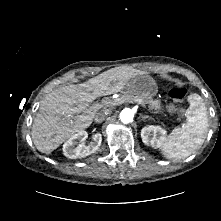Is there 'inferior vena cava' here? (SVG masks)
Listing matches in <instances>:
<instances>
[{
  "instance_id": "1",
  "label": "inferior vena cava",
  "mask_w": 221,
  "mask_h": 221,
  "mask_svg": "<svg viewBox=\"0 0 221 221\" xmlns=\"http://www.w3.org/2000/svg\"><path fill=\"white\" fill-rule=\"evenodd\" d=\"M109 110H102V111H99L96 115H95V122L96 123H101L105 120V117L109 114Z\"/></svg>"
}]
</instances>
